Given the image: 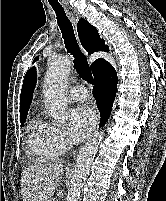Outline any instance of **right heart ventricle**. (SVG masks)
I'll use <instances>...</instances> for the list:
<instances>
[{"label": "right heart ventricle", "instance_id": "obj_1", "mask_svg": "<svg viewBox=\"0 0 166 201\" xmlns=\"http://www.w3.org/2000/svg\"><path fill=\"white\" fill-rule=\"evenodd\" d=\"M55 126L40 118H34L29 124V154L36 161H50L61 154L54 138Z\"/></svg>", "mask_w": 166, "mask_h": 201}]
</instances>
